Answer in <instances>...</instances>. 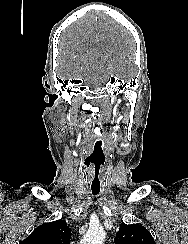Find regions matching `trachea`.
I'll return each instance as SVG.
<instances>
[{"instance_id": "obj_1", "label": "trachea", "mask_w": 188, "mask_h": 244, "mask_svg": "<svg viewBox=\"0 0 188 244\" xmlns=\"http://www.w3.org/2000/svg\"><path fill=\"white\" fill-rule=\"evenodd\" d=\"M103 188V180H92V194L98 195Z\"/></svg>"}]
</instances>
